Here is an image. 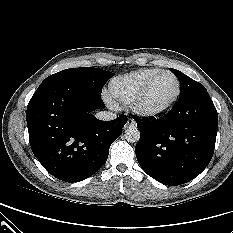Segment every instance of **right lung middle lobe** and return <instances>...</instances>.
<instances>
[{"instance_id": "right-lung-middle-lobe-1", "label": "right lung middle lobe", "mask_w": 233, "mask_h": 233, "mask_svg": "<svg viewBox=\"0 0 233 233\" xmlns=\"http://www.w3.org/2000/svg\"><path fill=\"white\" fill-rule=\"evenodd\" d=\"M114 73L93 67L70 68L47 77L34 94L61 83H72L101 95L105 83Z\"/></svg>"}]
</instances>
